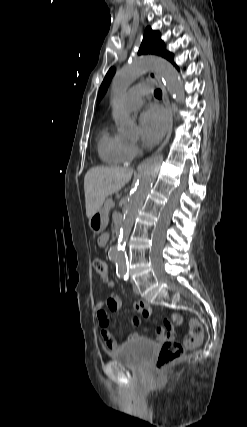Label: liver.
I'll list each match as a JSON object with an SVG mask.
<instances>
[{
    "instance_id": "liver-1",
    "label": "liver",
    "mask_w": 247,
    "mask_h": 427,
    "mask_svg": "<svg viewBox=\"0 0 247 427\" xmlns=\"http://www.w3.org/2000/svg\"><path fill=\"white\" fill-rule=\"evenodd\" d=\"M133 174L130 168L93 167L84 177L86 215L90 219L100 211L107 196L119 191Z\"/></svg>"
}]
</instances>
